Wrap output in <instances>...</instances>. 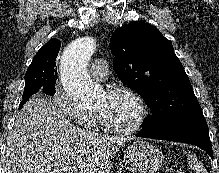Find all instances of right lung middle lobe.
<instances>
[{
  "label": "right lung middle lobe",
  "mask_w": 219,
  "mask_h": 173,
  "mask_svg": "<svg viewBox=\"0 0 219 173\" xmlns=\"http://www.w3.org/2000/svg\"><path fill=\"white\" fill-rule=\"evenodd\" d=\"M56 79L57 75L53 72L45 71L39 66H29L25 74V88L22 98H28L38 91L53 95Z\"/></svg>",
  "instance_id": "obj_1"
}]
</instances>
